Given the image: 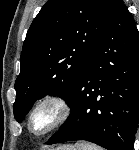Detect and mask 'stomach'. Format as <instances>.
<instances>
[{"mask_svg":"<svg viewBox=\"0 0 139 150\" xmlns=\"http://www.w3.org/2000/svg\"><path fill=\"white\" fill-rule=\"evenodd\" d=\"M54 150H77V149H76V146L75 147L74 146H60Z\"/></svg>","mask_w":139,"mask_h":150,"instance_id":"stomach-1","label":"stomach"}]
</instances>
